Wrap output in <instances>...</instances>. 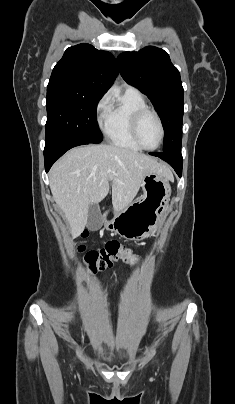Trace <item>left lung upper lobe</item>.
I'll return each instance as SVG.
<instances>
[{"instance_id":"left-lung-upper-lobe-1","label":"left lung upper lobe","mask_w":235,"mask_h":404,"mask_svg":"<svg viewBox=\"0 0 235 404\" xmlns=\"http://www.w3.org/2000/svg\"><path fill=\"white\" fill-rule=\"evenodd\" d=\"M123 79L146 94L164 127L163 152H181L184 90L180 73L162 49L147 46L117 58Z\"/></svg>"}]
</instances>
